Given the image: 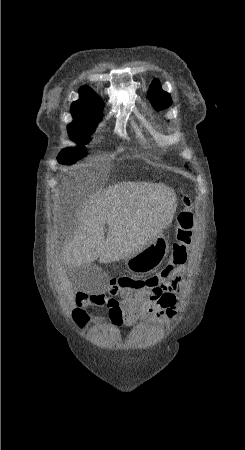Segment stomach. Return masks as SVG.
I'll use <instances>...</instances> for the list:
<instances>
[{
  "instance_id": "stomach-1",
  "label": "stomach",
  "mask_w": 245,
  "mask_h": 450,
  "mask_svg": "<svg viewBox=\"0 0 245 450\" xmlns=\"http://www.w3.org/2000/svg\"><path fill=\"white\" fill-rule=\"evenodd\" d=\"M169 252L166 236L159 233L156 238L134 255L125 259L126 267L135 273L146 274L154 271Z\"/></svg>"
}]
</instances>
